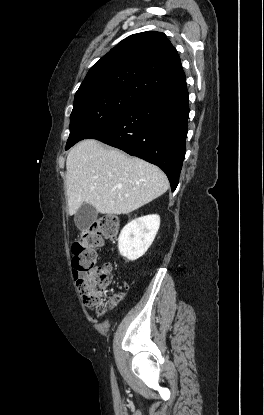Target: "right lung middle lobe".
Masks as SVG:
<instances>
[{"mask_svg":"<svg viewBox=\"0 0 264 415\" xmlns=\"http://www.w3.org/2000/svg\"><path fill=\"white\" fill-rule=\"evenodd\" d=\"M141 99L136 94L122 91L75 98L66 150L118 118Z\"/></svg>","mask_w":264,"mask_h":415,"instance_id":"1","label":"right lung middle lobe"}]
</instances>
